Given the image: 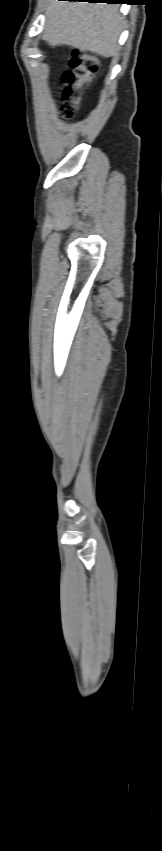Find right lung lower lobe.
I'll return each mask as SVG.
<instances>
[{
    "instance_id": "right-lung-lower-lobe-1",
    "label": "right lung lower lobe",
    "mask_w": 162,
    "mask_h": 851,
    "mask_svg": "<svg viewBox=\"0 0 162 851\" xmlns=\"http://www.w3.org/2000/svg\"><path fill=\"white\" fill-rule=\"evenodd\" d=\"M69 1H87V2H97V3H108V4H120L125 3L126 0H69Z\"/></svg>"
}]
</instances>
